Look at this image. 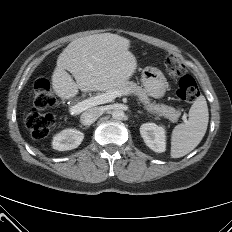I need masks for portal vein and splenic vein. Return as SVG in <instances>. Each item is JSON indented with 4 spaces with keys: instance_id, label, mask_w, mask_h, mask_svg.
<instances>
[{
    "instance_id": "obj_1",
    "label": "portal vein and splenic vein",
    "mask_w": 232,
    "mask_h": 232,
    "mask_svg": "<svg viewBox=\"0 0 232 232\" xmlns=\"http://www.w3.org/2000/svg\"><path fill=\"white\" fill-rule=\"evenodd\" d=\"M130 91L123 90V91H110L106 92L94 97H90L88 99H85L81 102H78L76 105L71 106L69 108L70 113L72 114H79L83 112L84 110L91 108L92 106L104 104L107 102H111L116 97H121L123 95H128ZM183 120H186V116H183Z\"/></svg>"
}]
</instances>
